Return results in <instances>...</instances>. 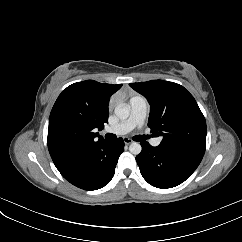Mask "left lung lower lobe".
<instances>
[{
	"instance_id": "obj_1",
	"label": "left lung lower lobe",
	"mask_w": 242,
	"mask_h": 242,
	"mask_svg": "<svg viewBox=\"0 0 242 242\" xmlns=\"http://www.w3.org/2000/svg\"><path fill=\"white\" fill-rule=\"evenodd\" d=\"M142 151L136 161L143 178L157 188H172L184 182L198 167L203 155L169 148L152 147L141 142Z\"/></svg>"
}]
</instances>
